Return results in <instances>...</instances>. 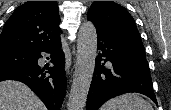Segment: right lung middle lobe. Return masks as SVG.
I'll list each match as a JSON object with an SVG mask.
<instances>
[{
	"instance_id": "obj_1",
	"label": "right lung middle lobe",
	"mask_w": 171,
	"mask_h": 110,
	"mask_svg": "<svg viewBox=\"0 0 171 110\" xmlns=\"http://www.w3.org/2000/svg\"><path fill=\"white\" fill-rule=\"evenodd\" d=\"M35 58V52L32 51L0 50V71L28 66Z\"/></svg>"
}]
</instances>
